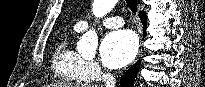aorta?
Returning <instances> with one entry per match:
<instances>
[{"label": "aorta", "instance_id": "aorta-1", "mask_svg": "<svg viewBox=\"0 0 205 87\" xmlns=\"http://www.w3.org/2000/svg\"><path fill=\"white\" fill-rule=\"evenodd\" d=\"M117 0H94L92 11L95 17L101 18L108 14L116 5ZM98 46V35L90 29L81 37L77 48L83 53L94 54Z\"/></svg>", "mask_w": 205, "mask_h": 87}]
</instances>
